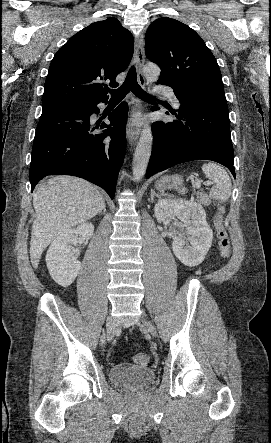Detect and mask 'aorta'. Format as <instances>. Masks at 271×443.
I'll list each match as a JSON object with an SVG mask.
<instances>
[{
	"label": "aorta",
	"instance_id": "1",
	"mask_svg": "<svg viewBox=\"0 0 271 443\" xmlns=\"http://www.w3.org/2000/svg\"><path fill=\"white\" fill-rule=\"evenodd\" d=\"M160 72L161 70L156 64H146L144 68V76L147 82H156L160 76ZM152 142L153 136L151 128L146 124L144 130H142L133 158L132 172L133 180H136V182H140L143 176H145L151 156Z\"/></svg>",
	"mask_w": 271,
	"mask_h": 443
}]
</instances>
